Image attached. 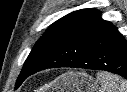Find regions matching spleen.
Here are the masks:
<instances>
[{
    "mask_svg": "<svg viewBox=\"0 0 127 92\" xmlns=\"http://www.w3.org/2000/svg\"><path fill=\"white\" fill-rule=\"evenodd\" d=\"M97 79L101 83L99 92H127V80L108 72H98Z\"/></svg>",
    "mask_w": 127,
    "mask_h": 92,
    "instance_id": "3e777b00",
    "label": "spleen"
}]
</instances>
